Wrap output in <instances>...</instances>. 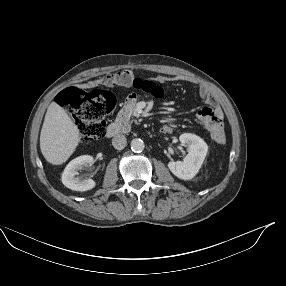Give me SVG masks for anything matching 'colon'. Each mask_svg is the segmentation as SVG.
Wrapping results in <instances>:
<instances>
[{"label": "colon", "mask_w": 286, "mask_h": 286, "mask_svg": "<svg viewBox=\"0 0 286 286\" xmlns=\"http://www.w3.org/2000/svg\"><path fill=\"white\" fill-rule=\"evenodd\" d=\"M112 75H108L107 78ZM151 94H157L159 87L143 85ZM58 104L66 109L75 119L80 132V141L91 144L101 138L105 131L106 117L116 106L114 96L106 91H83L76 87L67 88L57 96ZM207 137L219 144L226 140L227 128L220 121L211 122L206 128Z\"/></svg>", "instance_id": "obj_1"}]
</instances>
